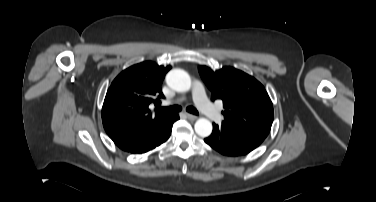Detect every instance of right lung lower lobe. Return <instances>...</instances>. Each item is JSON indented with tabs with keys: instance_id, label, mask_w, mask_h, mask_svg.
I'll use <instances>...</instances> for the list:
<instances>
[{
	"instance_id": "98d812e1",
	"label": "right lung lower lobe",
	"mask_w": 376,
	"mask_h": 202,
	"mask_svg": "<svg viewBox=\"0 0 376 202\" xmlns=\"http://www.w3.org/2000/svg\"><path fill=\"white\" fill-rule=\"evenodd\" d=\"M178 119V114H171L129 141L117 146L130 153L141 154L148 152L164 143L170 137L172 125Z\"/></svg>"
}]
</instances>
